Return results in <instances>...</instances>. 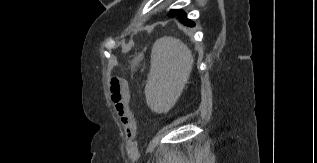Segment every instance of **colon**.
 Wrapping results in <instances>:
<instances>
[{"label":"colon","mask_w":317,"mask_h":163,"mask_svg":"<svg viewBox=\"0 0 317 163\" xmlns=\"http://www.w3.org/2000/svg\"><path fill=\"white\" fill-rule=\"evenodd\" d=\"M110 92L114 103L124 104L129 99L128 86L126 85V83L120 81L119 79H112Z\"/></svg>","instance_id":"5ec220e1"}]
</instances>
